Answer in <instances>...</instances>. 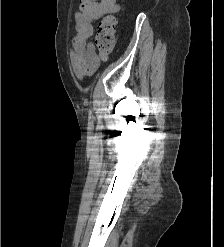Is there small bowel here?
Segmentation results:
<instances>
[{
	"mask_svg": "<svg viewBox=\"0 0 224 247\" xmlns=\"http://www.w3.org/2000/svg\"><path fill=\"white\" fill-rule=\"evenodd\" d=\"M116 0H81V7L75 13L76 34L72 41L71 60L79 78L92 75L99 64L94 45L89 43L93 35V23L105 14L119 11Z\"/></svg>",
	"mask_w": 224,
	"mask_h": 247,
	"instance_id": "obj_1",
	"label": "small bowel"
}]
</instances>
